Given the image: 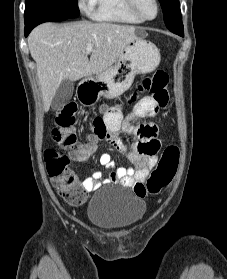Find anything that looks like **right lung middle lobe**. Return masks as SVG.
Returning a JSON list of instances; mask_svg holds the SVG:
<instances>
[{
	"label": "right lung middle lobe",
	"instance_id": "dd1d6c3e",
	"mask_svg": "<svg viewBox=\"0 0 227 279\" xmlns=\"http://www.w3.org/2000/svg\"><path fill=\"white\" fill-rule=\"evenodd\" d=\"M42 11L66 18L80 14L77 0H25V20Z\"/></svg>",
	"mask_w": 227,
	"mask_h": 279
}]
</instances>
